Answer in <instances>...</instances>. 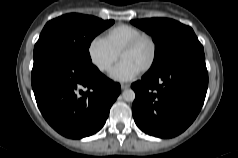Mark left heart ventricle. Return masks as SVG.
I'll list each match as a JSON object with an SVG mask.
<instances>
[{
	"instance_id": "1",
	"label": "left heart ventricle",
	"mask_w": 238,
	"mask_h": 158,
	"mask_svg": "<svg viewBox=\"0 0 238 158\" xmlns=\"http://www.w3.org/2000/svg\"><path fill=\"white\" fill-rule=\"evenodd\" d=\"M151 54V44L149 41L143 40L134 49L124 53L121 59L141 70L149 62Z\"/></svg>"
}]
</instances>
